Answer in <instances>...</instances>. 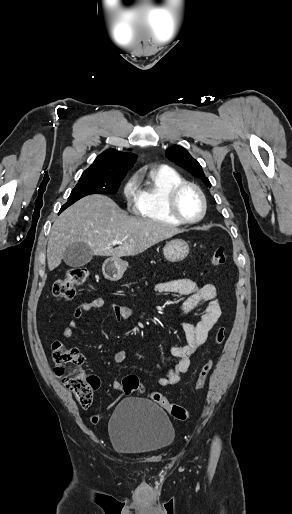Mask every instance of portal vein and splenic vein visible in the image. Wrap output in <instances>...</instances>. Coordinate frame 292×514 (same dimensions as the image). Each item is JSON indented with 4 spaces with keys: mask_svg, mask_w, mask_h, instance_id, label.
Listing matches in <instances>:
<instances>
[{
    "mask_svg": "<svg viewBox=\"0 0 292 514\" xmlns=\"http://www.w3.org/2000/svg\"><path fill=\"white\" fill-rule=\"evenodd\" d=\"M116 244H122V242H118V240H114V242H112V246H116Z\"/></svg>",
    "mask_w": 292,
    "mask_h": 514,
    "instance_id": "18ae733b",
    "label": "portal vein and splenic vein"
}]
</instances>
